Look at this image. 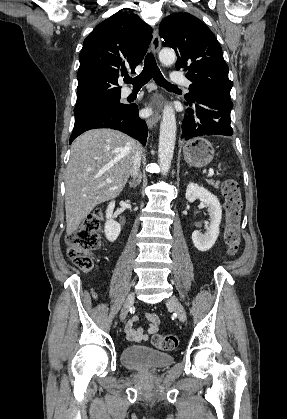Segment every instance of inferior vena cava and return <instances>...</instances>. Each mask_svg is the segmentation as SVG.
<instances>
[{
    "mask_svg": "<svg viewBox=\"0 0 287 419\" xmlns=\"http://www.w3.org/2000/svg\"><path fill=\"white\" fill-rule=\"evenodd\" d=\"M140 163H141V150L140 148H138L132 160L131 176H133L134 178L138 177L139 175L138 172H139Z\"/></svg>",
    "mask_w": 287,
    "mask_h": 419,
    "instance_id": "1",
    "label": "inferior vena cava"
}]
</instances>
